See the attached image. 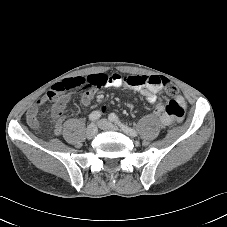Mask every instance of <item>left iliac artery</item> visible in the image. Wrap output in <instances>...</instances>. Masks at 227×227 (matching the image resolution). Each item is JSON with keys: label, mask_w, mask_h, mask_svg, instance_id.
Masks as SVG:
<instances>
[{"label": "left iliac artery", "mask_w": 227, "mask_h": 227, "mask_svg": "<svg viewBox=\"0 0 227 227\" xmlns=\"http://www.w3.org/2000/svg\"><path fill=\"white\" fill-rule=\"evenodd\" d=\"M108 118L110 121L114 122L118 127L121 128L122 131H124L129 136H132V137L137 136V132L134 129L122 123L116 114L111 113Z\"/></svg>", "instance_id": "44dca946"}]
</instances>
